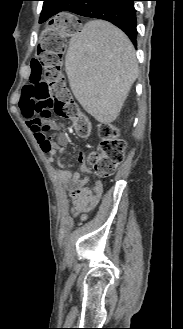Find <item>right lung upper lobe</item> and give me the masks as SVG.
I'll return each mask as SVG.
<instances>
[{"mask_svg": "<svg viewBox=\"0 0 183 329\" xmlns=\"http://www.w3.org/2000/svg\"><path fill=\"white\" fill-rule=\"evenodd\" d=\"M43 9L41 12L40 22L43 20L49 19L51 16L56 14V7L58 4L61 3V1L65 0H43Z\"/></svg>", "mask_w": 183, "mask_h": 329, "instance_id": "cb5924a9", "label": "right lung upper lobe"}]
</instances>
